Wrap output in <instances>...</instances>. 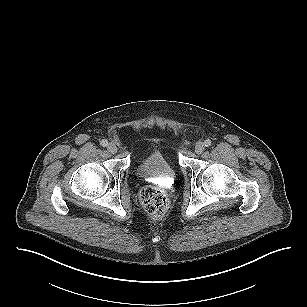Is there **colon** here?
<instances>
[{"instance_id": "5ec220e1", "label": "colon", "mask_w": 307, "mask_h": 307, "mask_svg": "<svg viewBox=\"0 0 307 307\" xmlns=\"http://www.w3.org/2000/svg\"><path fill=\"white\" fill-rule=\"evenodd\" d=\"M140 202L144 210L152 217L164 216L168 209V198L165 192L156 186H148L140 192Z\"/></svg>"}]
</instances>
